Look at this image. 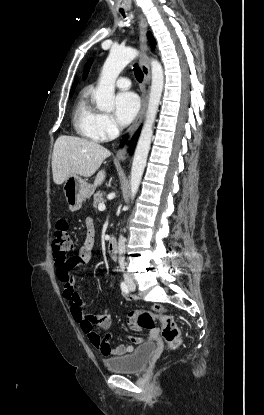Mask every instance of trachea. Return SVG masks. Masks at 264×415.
<instances>
[{
  "instance_id": "3493384b",
  "label": "trachea",
  "mask_w": 264,
  "mask_h": 415,
  "mask_svg": "<svg viewBox=\"0 0 264 415\" xmlns=\"http://www.w3.org/2000/svg\"><path fill=\"white\" fill-rule=\"evenodd\" d=\"M122 15L125 17L124 13H122ZM134 74H135V77H136L137 81L142 82L143 72L137 64H134Z\"/></svg>"
}]
</instances>
